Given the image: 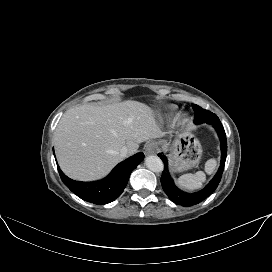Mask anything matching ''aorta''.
I'll use <instances>...</instances> for the list:
<instances>
[{"mask_svg": "<svg viewBox=\"0 0 272 272\" xmlns=\"http://www.w3.org/2000/svg\"><path fill=\"white\" fill-rule=\"evenodd\" d=\"M145 165L149 170L153 172H157V173L163 171V168H164V164L162 160L158 156H155V155H150L146 157Z\"/></svg>", "mask_w": 272, "mask_h": 272, "instance_id": "obj_1", "label": "aorta"}]
</instances>
